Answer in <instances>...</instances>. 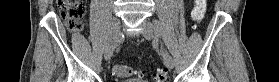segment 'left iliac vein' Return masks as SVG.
<instances>
[{
    "label": "left iliac vein",
    "mask_w": 279,
    "mask_h": 82,
    "mask_svg": "<svg viewBox=\"0 0 279 82\" xmlns=\"http://www.w3.org/2000/svg\"><path fill=\"white\" fill-rule=\"evenodd\" d=\"M142 26H143L142 34L146 39L156 38L157 29L152 22L145 20ZM162 55H163V62L165 66L169 69H172L174 67V61L171 55L169 54V52L166 49H163Z\"/></svg>",
    "instance_id": "obj_1"
}]
</instances>
